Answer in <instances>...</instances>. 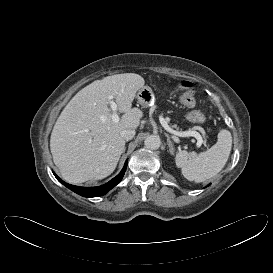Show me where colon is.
<instances>
[{"label": "colon", "instance_id": "obj_1", "mask_svg": "<svg viewBox=\"0 0 273 273\" xmlns=\"http://www.w3.org/2000/svg\"><path fill=\"white\" fill-rule=\"evenodd\" d=\"M178 90L180 91V102L187 107H193L195 105V94L193 85L188 81H181L178 84ZM187 119L193 123H202L205 120L204 115L199 111H191L187 115Z\"/></svg>", "mask_w": 273, "mask_h": 273}]
</instances>
